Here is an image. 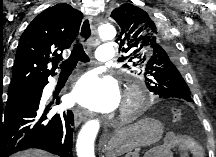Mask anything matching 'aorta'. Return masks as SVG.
Segmentation results:
<instances>
[{"label":"aorta","instance_id":"aorta-1","mask_svg":"<svg viewBox=\"0 0 216 157\" xmlns=\"http://www.w3.org/2000/svg\"><path fill=\"white\" fill-rule=\"evenodd\" d=\"M98 32L102 40H112L116 36L115 26L111 23L102 24L99 27ZM99 127L98 120H89L83 125L79 132L76 144L78 157H95L94 141L99 131Z\"/></svg>","mask_w":216,"mask_h":157}]
</instances>
